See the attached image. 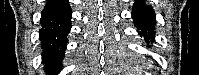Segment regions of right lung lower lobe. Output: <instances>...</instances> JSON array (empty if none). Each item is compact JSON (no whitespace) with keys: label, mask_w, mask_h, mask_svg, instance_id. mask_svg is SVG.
Listing matches in <instances>:
<instances>
[{"label":"right lung lower lobe","mask_w":199,"mask_h":75,"mask_svg":"<svg viewBox=\"0 0 199 75\" xmlns=\"http://www.w3.org/2000/svg\"><path fill=\"white\" fill-rule=\"evenodd\" d=\"M40 40L48 75H57L71 29V8L67 0H48L42 11Z\"/></svg>","instance_id":"obj_1"}]
</instances>
